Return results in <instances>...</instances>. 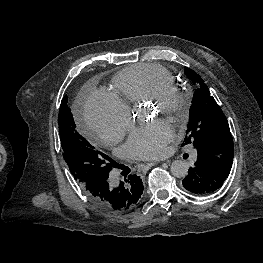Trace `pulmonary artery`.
I'll list each match as a JSON object with an SVG mask.
<instances>
[{
    "label": "pulmonary artery",
    "instance_id": "pulmonary-artery-1",
    "mask_svg": "<svg viewBox=\"0 0 263 263\" xmlns=\"http://www.w3.org/2000/svg\"><path fill=\"white\" fill-rule=\"evenodd\" d=\"M197 158V153L194 152L193 155H192V159L195 160Z\"/></svg>",
    "mask_w": 263,
    "mask_h": 263
}]
</instances>
